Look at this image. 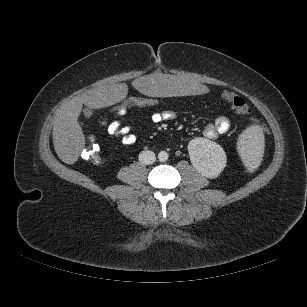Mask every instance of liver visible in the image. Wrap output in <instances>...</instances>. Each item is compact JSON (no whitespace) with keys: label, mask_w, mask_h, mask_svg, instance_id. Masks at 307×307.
<instances>
[{"label":"liver","mask_w":307,"mask_h":307,"mask_svg":"<svg viewBox=\"0 0 307 307\" xmlns=\"http://www.w3.org/2000/svg\"><path fill=\"white\" fill-rule=\"evenodd\" d=\"M134 86L138 93L150 99H157L161 95H202L207 90V85L202 80L182 81L181 77L162 73L139 76L135 79ZM126 95L127 85L117 84L89 90L63 105L56 113L52 132L58 157L66 164H74L85 147V136L78 124L83 104L90 109H100L120 102Z\"/></svg>","instance_id":"obj_1"}]
</instances>
